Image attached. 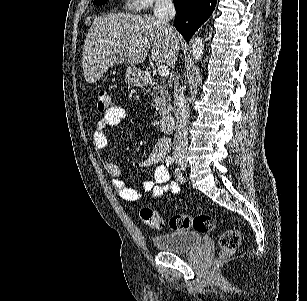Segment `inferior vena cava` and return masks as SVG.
I'll return each instance as SVG.
<instances>
[{
    "mask_svg": "<svg viewBox=\"0 0 307 301\" xmlns=\"http://www.w3.org/2000/svg\"><path fill=\"white\" fill-rule=\"evenodd\" d=\"M153 12L157 22H162L168 28L170 36L175 38L174 26L169 24V20L174 18L176 14L173 0H155ZM179 78L180 74H177L174 80V106L176 114V132L174 134L173 146L174 157L186 155L188 151L189 102L182 86H180Z\"/></svg>",
    "mask_w": 307,
    "mask_h": 301,
    "instance_id": "1",
    "label": "inferior vena cava"
}]
</instances>
